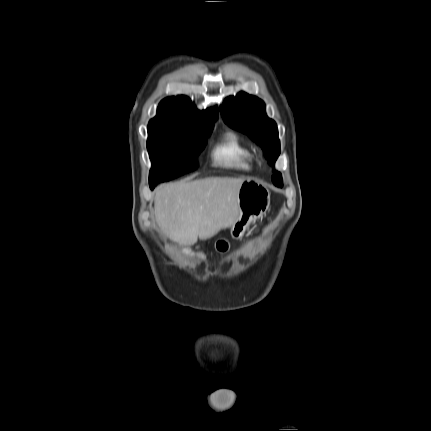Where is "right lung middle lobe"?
<instances>
[{
  "instance_id": "1",
  "label": "right lung middle lobe",
  "mask_w": 431,
  "mask_h": 431,
  "mask_svg": "<svg viewBox=\"0 0 431 431\" xmlns=\"http://www.w3.org/2000/svg\"><path fill=\"white\" fill-rule=\"evenodd\" d=\"M213 126L201 130L149 124L147 149L152 162L149 183L158 184L197 168V156Z\"/></svg>"
}]
</instances>
